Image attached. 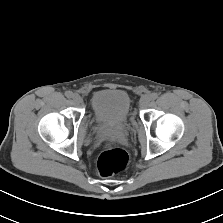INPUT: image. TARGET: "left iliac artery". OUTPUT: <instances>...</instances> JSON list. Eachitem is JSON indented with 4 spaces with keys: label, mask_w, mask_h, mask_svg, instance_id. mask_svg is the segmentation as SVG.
<instances>
[{
    "label": "left iliac artery",
    "mask_w": 223,
    "mask_h": 223,
    "mask_svg": "<svg viewBox=\"0 0 223 223\" xmlns=\"http://www.w3.org/2000/svg\"><path fill=\"white\" fill-rule=\"evenodd\" d=\"M157 98H158V94L155 92L150 95L151 100H156Z\"/></svg>",
    "instance_id": "1"
}]
</instances>
